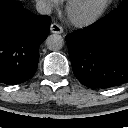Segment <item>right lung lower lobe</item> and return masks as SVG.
Returning a JSON list of instances; mask_svg holds the SVG:
<instances>
[{"label":"right lung lower lobe","instance_id":"right-lung-lower-lobe-1","mask_svg":"<svg viewBox=\"0 0 128 128\" xmlns=\"http://www.w3.org/2000/svg\"><path fill=\"white\" fill-rule=\"evenodd\" d=\"M49 16L35 15L20 2L0 0V82L20 84L38 66L39 46L50 31Z\"/></svg>","mask_w":128,"mask_h":128}]
</instances>
